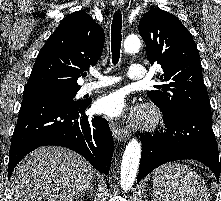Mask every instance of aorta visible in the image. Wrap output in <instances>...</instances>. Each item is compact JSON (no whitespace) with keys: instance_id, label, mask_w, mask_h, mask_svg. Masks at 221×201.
<instances>
[{"instance_id":"762f6f07","label":"aorta","mask_w":221,"mask_h":201,"mask_svg":"<svg viewBox=\"0 0 221 201\" xmlns=\"http://www.w3.org/2000/svg\"><path fill=\"white\" fill-rule=\"evenodd\" d=\"M141 47L140 39L137 35H130L124 41V50L126 53H136ZM141 157V144L137 139L133 138L126 146L123 154L120 183L123 191H128L132 188Z\"/></svg>"}]
</instances>
